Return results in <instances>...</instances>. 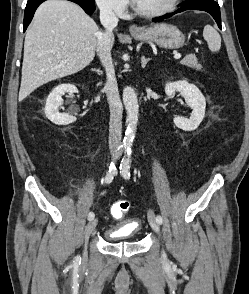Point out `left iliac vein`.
Masks as SVG:
<instances>
[{
  "label": "left iliac vein",
  "instance_id": "left-iliac-vein-1",
  "mask_svg": "<svg viewBox=\"0 0 249 294\" xmlns=\"http://www.w3.org/2000/svg\"><path fill=\"white\" fill-rule=\"evenodd\" d=\"M148 220H149L150 226L153 229V231L156 232L157 234H159L160 229H159L158 223L155 220V215L152 211H149V213H148ZM162 256H163V258H166L165 253H163Z\"/></svg>",
  "mask_w": 249,
  "mask_h": 294
}]
</instances>
